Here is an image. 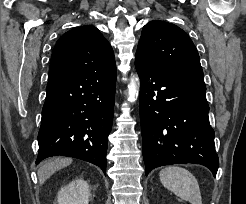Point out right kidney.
Segmentation results:
<instances>
[{
    "instance_id": "obj_1",
    "label": "right kidney",
    "mask_w": 246,
    "mask_h": 204,
    "mask_svg": "<svg viewBox=\"0 0 246 204\" xmlns=\"http://www.w3.org/2000/svg\"><path fill=\"white\" fill-rule=\"evenodd\" d=\"M58 204H89V185L77 179L61 188L57 196Z\"/></svg>"
}]
</instances>
